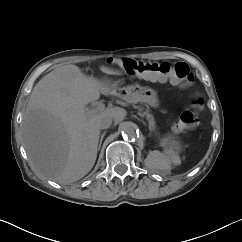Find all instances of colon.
Instances as JSON below:
<instances>
[{
	"label": "colon",
	"instance_id": "1",
	"mask_svg": "<svg viewBox=\"0 0 242 242\" xmlns=\"http://www.w3.org/2000/svg\"><path fill=\"white\" fill-rule=\"evenodd\" d=\"M108 62L121 67L129 74L138 75L151 81L161 82L168 80L182 88H189L194 82V76L187 64L183 62H155L130 58H109ZM202 107L203 101L200 98L194 99L192 108L182 112L173 125V130L181 132L195 127L198 124V112Z\"/></svg>",
	"mask_w": 242,
	"mask_h": 242
}]
</instances>
